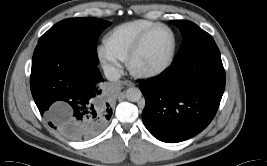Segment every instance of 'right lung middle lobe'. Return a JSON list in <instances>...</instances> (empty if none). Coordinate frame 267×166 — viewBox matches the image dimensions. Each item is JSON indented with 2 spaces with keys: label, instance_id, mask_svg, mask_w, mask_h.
Listing matches in <instances>:
<instances>
[{
  "label": "right lung middle lobe",
  "instance_id": "1",
  "mask_svg": "<svg viewBox=\"0 0 267 166\" xmlns=\"http://www.w3.org/2000/svg\"><path fill=\"white\" fill-rule=\"evenodd\" d=\"M109 25L108 21L90 17L65 19L43 34L38 43L57 42L66 45L98 64L96 42Z\"/></svg>",
  "mask_w": 267,
  "mask_h": 166
}]
</instances>
